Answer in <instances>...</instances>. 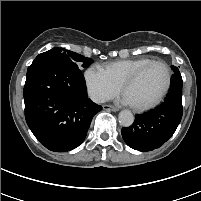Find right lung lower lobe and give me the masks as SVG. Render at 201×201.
<instances>
[{"mask_svg": "<svg viewBox=\"0 0 201 201\" xmlns=\"http://www.w3.org/2000/svg\"><path fill=\"white\" fill-rule=\"evenodd\" d=\"M23 94L29 128L41 144L55 152L78 147L93 116L102 110L88 98L82 72L62 62H33Z\"/></svg>", "mask_w": 201, "mask_h": 201, "instance_id": "obj_1", "label": "right lung lower lobe"}]
</instances>
